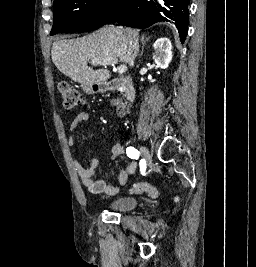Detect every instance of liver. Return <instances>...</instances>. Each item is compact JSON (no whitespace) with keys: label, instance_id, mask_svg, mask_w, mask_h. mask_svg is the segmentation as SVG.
I'll return each instance as SVG.
<instances>
[{"label":"liver","instance_id":"1","mask_svg":"<svg viewBox=\"0 0 256 267\" xmlns=\"http://www.w3.org/2000/svg\"><path fill=\"white\" fill-rule=\"evenodd\" d=\"M139 40V30L131 28H117L105 26L90 36L77 40H59L54 42L51 50L52 62L56 68L84 86L90 84H106L111 78L109 70H93L87 66L88 62L115 60L123 66L134 64L132 46ZM92 64V66H100Z\"/></svg>","mask_w":256,"mask_h":267}]
</instances>
